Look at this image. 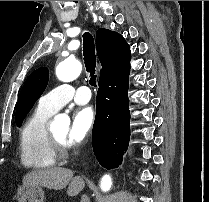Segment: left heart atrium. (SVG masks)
I'll return each mask as SVG.
<instances>
[{"label":"left heart atrium","instance_id":"39dd6f15","mask_svg":"<svg viewBox=\"0 0 209 202\" xmlns=\"http://www.w3.org/2000/svg\"><path fill=\"white\" fill-rule=\"evenodd\" d=\"M96 120V113L93 107H79L73 113L72 122L67 135V142L76 145L83 142L91 132Z\"/></svg>","mask_w":209,"mask_h":202}]
</instances>
